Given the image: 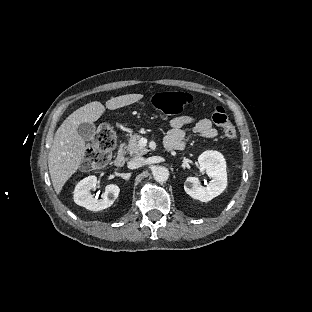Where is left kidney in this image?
I'll list each match as a JSON object with an SVG mask.
<instances>
[{"mask_svg": "<svg viewBox=\"0 0 312 312\" xmlns=\"http://www.w3.org/2000/svg\"><path fill=\"white\" fill-rule=\"evenodd\" d=\"M198 162L200 171H205L212 180L203 186L197 177H188L184 190L192 198L208 202L221 194L227 186L226 161L220 152L207 150L198 157Z\"/></svg>", "mask_w": 312, "mask_h": 312, "instance_id": "obj_1", "label": "left kidney"}]
</instances>
